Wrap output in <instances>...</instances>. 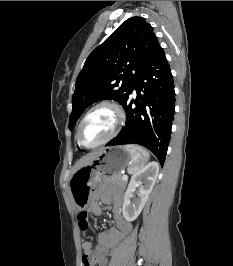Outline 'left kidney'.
<instances>
[{"mask_svg": "<svg viewBox=\"0 0 233 266\" xmlns=\"http://www.w3.org/2000/svg\"><path fill=\"white\" fill-rule=\"evenodd\" d=\"M158 173V163L151 162L132 176L125 192L122 209L123 216L127 221H134L141 213L146 201L148 200L149 194L154 187ZM136 187H139L138 198L131 203L130 198L132 197V193Z\"/></svg>", "mask_w": 233, "mask_h": 266, "instance_id": "1", "label": "left kidney"}]
</instances>
